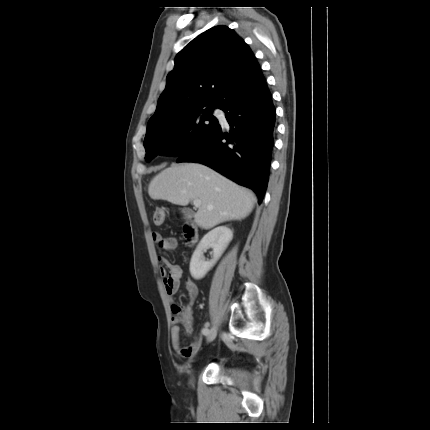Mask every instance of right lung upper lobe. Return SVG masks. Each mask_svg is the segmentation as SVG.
<instances>
[{
  "label": "right lung upper lobe",
  "instance_id": "right-lung-upper-lobe-1",
  "mask_svg": "<svg viewBox=\"0 0 430 430\" xmlns=\"http://www.w3.org/2000/svg\"><path fill=\"white\" fill-rule=\"evenodd\" d=\"M264 78L249 46L234 30L213 27L175 57L148 126L205 105L221 106L233 93Z\"/></svg>",
  "mask_w": 430,
  "mask_h": 430
}]
</instances>
